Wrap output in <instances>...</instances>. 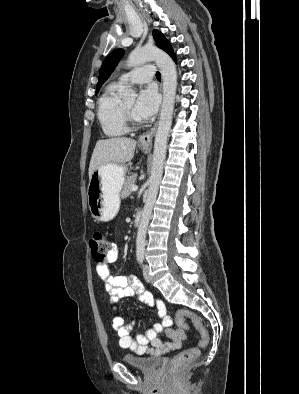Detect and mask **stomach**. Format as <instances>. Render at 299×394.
Wrapping results in <instances>:
<instances>
[{"label":"stomach","mask_w":299,"mask_h":394,"mask_svg":"<svg viewBox=\"0 0 299 394\" xmlns=\"http://www.w3.org/2000/svg\"><path fill=\"white\" fill-rule=\"evenodd\" d=\"M147 152L146 149H143ZM125 165L104 164L94 170L87 189L88 206L96 221L112 220L120 207V191L125 183Z\"/></svg>","instance_id":"stomach-1"}]
</instances>
